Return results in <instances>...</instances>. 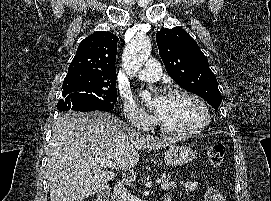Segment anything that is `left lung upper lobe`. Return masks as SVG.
<instances>
[{"label": "left lung upper lobe", "mask_w": 271, "mask_h": 201, "mask_svg": "<svg viewBox=\"0 0 271 201\" xmlns=\"http://www.w3.org/2000/svg\"><path fill=\"white\" fill-rule=\"evenodd\" d=\"M160 57L170 77L183 89L202 97L215 110L221 104L217 79L195 40L180 27L156 33Z\"/></svg>", "instance_id": "1"}]
</instances>
